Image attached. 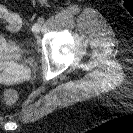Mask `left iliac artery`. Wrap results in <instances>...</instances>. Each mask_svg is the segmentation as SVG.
Wrapping results in <instances>:
<instances>
[{"instance_id":"44dca946","label":"left iliac artery","mask_w":133,"mask_h":133,"mask_svg":"<svg viewBox=\"0 0 133 133\" xmlns=\"http://www.w3.org/2000/svg\"><path fill=\"white\" fill-rule=\"evenodd\" d=\"M44 21H45L44 17H39L38 18V22H40L41 24L44 23Z\"/></svg>"}]
</instances>
